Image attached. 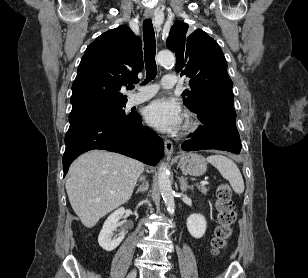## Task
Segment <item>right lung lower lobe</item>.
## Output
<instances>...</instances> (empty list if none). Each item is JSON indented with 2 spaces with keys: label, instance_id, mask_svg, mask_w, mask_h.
Here are the masks:
<instances>
[{
  "label": "right lung lower lobe",
  "instance_id": "1",
  "mask_svg": "<svg viewBox=\"0 0 308 278\" xmlns=\"http://www.w3.org/2000/svg\"><path fill=\"white\" fill-rule=\"evenodd\" d=\"M65 144L64 176L74 159L93 149L118 152L153 166L164 155L162 139L150 128L142 126L138 114L118 120L99 117L73 120L66 133Z\"/></svg>",
  "mask_w": 308,
  "mask_h": 278
}]
</instances>
